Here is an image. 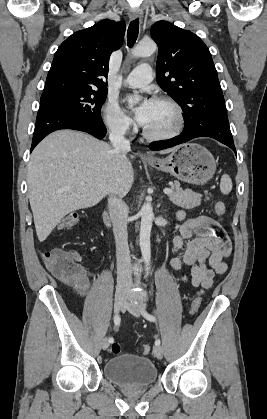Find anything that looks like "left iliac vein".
Listing matches in <instances>:
<instances>
[{
  "instance_id": "4c4485c4",
  "label": "left iliac vein",
  "mask_w": 267,
  "mask_h": 419,
  "mask_svg": "<svg viewBox=\"0 0 267 419\" xmlns=\"http://www.w3.org/2000/svg\"><path fill=\"white\" fill-rule=\"evenodd\" d=\"M124 307L134 316L139 317L141 312L144 311V306L134 303V302H130V301H126L124 303ZM153 353L155 355L156 358L158 359H162L163 357V349L160 345H155L153 347Z\"/></svg>"
}]
</instances>
